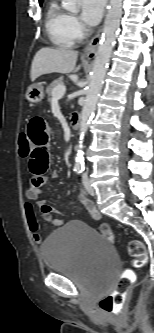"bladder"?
Here are the masks:
<instances>
[{
  "label": "bladder",
  "mask_w": 154,
  "mask_h": 333,
  "mask_svg": "<svg viewBox=\"0 0 154 333\" xmlns=\"http://www.w3.org/2000/svg\"><path fill=\"white\" fill-rule=\"evenodd\" d=\"M40 250L46 269L101 291L111 286L119 263L111 243L93 227L77 220L54 230Z\"/></svg>",
  "instance_id": "bladder-1"
}]
</instances>
